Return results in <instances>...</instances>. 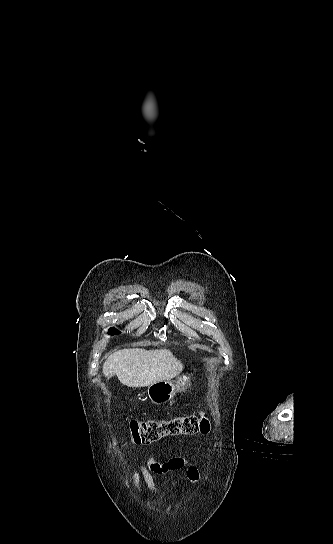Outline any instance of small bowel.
Wrapping results in <instances>:
<instances>
[{
    "label": "small bowel",
    "instance_id": "obj_1",
    "mask_svg": "<svg viewBox=\"0 0 333 544\" xmlns=\"http://www.w3.org/2000/svg\"><path fill=\"white\" fill-rule=\"evenodd\" d=\"M185 468L187 478L195 483L199 479V473L195 466L188 463L182 457H174L166 462H159L150 456L144 464L138 468H133L132 480L140 493H143L142 482H145L155 497H158V489L153 480L152 474H164L169 471H175Z\"/></svg>",
    "mask_w": 333,
    "mask_h": 544
}]
</instances>
